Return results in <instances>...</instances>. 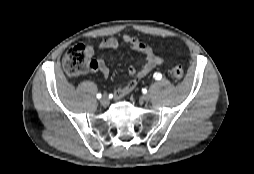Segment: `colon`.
Listing matches in <instances>:
<instances>
[{
    "label": "colon",
    "mask_w": 254,
    "mask_h": 174,
    "mask_svg": "<svg viewBox=\"0 0 254 174\" xmlns=\"http://www.w3.org/2000/svg\"><path fill=\"white\" fill-rule=\"evenodd\" d=\"M87 48L83 44L71 46L63 57V67L70 75H79L90 68ZM171 75L175 81H181L184 76L183 69L175 66L171 69Z\"/></svg>",
    "instance_id": "obj_1"
}]
</instances>
